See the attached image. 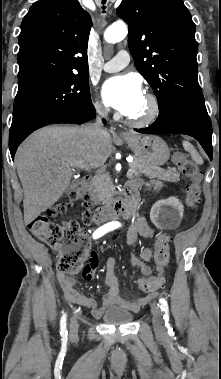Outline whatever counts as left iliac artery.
<instances>
[{
    "label": "left iliac artery",
    "mask_w": 221,
    "mask_h": 379,
    "mask_svg": "<svg viewBox=\"0 0 221 379\" xmlns=\"http://www.w3.org/2000/svg\"><path fill=\"white\" fill-rule=\"evenodd\" d=\"M159 303H160V308L161 310L164 312V320H165V324L166 326H168V320H169V317H168V313H169V307H168V303L167 301L164 299V298H160L159 299Z\"/></svg>",
    "instance_id": "44dca946"
}]
</instances>
